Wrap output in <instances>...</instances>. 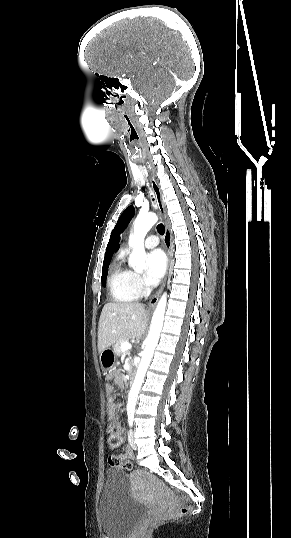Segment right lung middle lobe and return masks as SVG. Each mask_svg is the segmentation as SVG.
I'll return each mask as SVG.
<instances>
[{"label": "right lung middle lobe", "mask_w": 291, "mask_h": 538, "mask_svg": "<svg viewBox=\"0 0 291 538\" xmlns=\"http://www.w3.org/2000/svg\"><path fill=\"white\" fill-rule=\"evenodd\" d=\"M110 261H105L103 263V269H102V284L103 286H106V278L108 274V266Z\"/></svg>", "instance_id": "1"}]
</instances>
